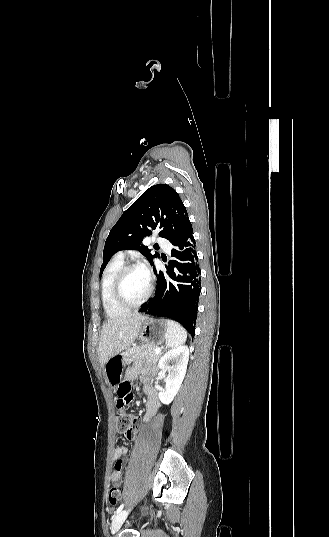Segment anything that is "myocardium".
I'll return each instance as SVG.
<instances>
[{
  "label": "myocardium",
  "mask_w": 329,
  "mask_h": 537,
  "mask_svg": "<svg viewBox=\"0 0 329 537\" xmlns=\"http://www.w3.org/2000/svg\"><path fill=\"white\" fill-rule=\"evenodd\" d=\"M138 268H140V265L137 264V263L123 265L122 268L119 270V272L117 274V277L115 279V284H114V297H115V300L118 303V305H120L121 307H123V308H125L127 310L138 308L139 306H141L143 303H145L148 300V298L150 297V295L152 294V291H153V280H152L151 276H149L148 277L149 278L148 289H147L145 295L139 301L131 303V302H128L125 299V297L123 295V291H122V285H123L124 278L127 275V273H129L130 271H132L134 269H138Z\"/></svg>",
  "instance_id": "myocardium-1"
}]
</instances>
